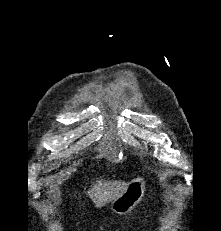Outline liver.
<instances>
[{
    "instance_id": "6515ba94",
    "label": "liver",
    "mask_w": 221,
    "mask_h": 231,
    "mask_svg": "<svg viewBox=\"0 0 221 231\" xmlns=\"http://www.w3.org/2000/svg\"><path fill=\"white\" fill-rule=\"evenodd\" d=\"M127 186L128 183L124 181L98 182L88 191V196L92 199L96 208H101L120 197L127 189Z\"/></svg>"
}]
</instances>
